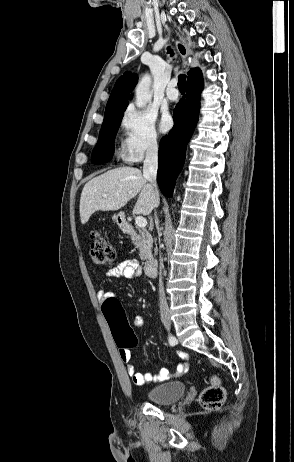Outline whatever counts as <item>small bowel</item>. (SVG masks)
<instances>
[{
	"label": "small bowel",
	"instance_id": "1",
	"mask_svg": "<svg viewBox=\"0 0 294 462\" xmlns=\"http://www.w3.org/2000/svg\"><path fill=\"white\" fill-rule=\"evenodd\" d=\"M141 270L139 264L134 259H127L119 263L116 267L106 271L105 275L110 278H134L139 276ZM111 296V293L101 289L97 292V297L100 300H104L107 297ZM146 320L143 316L138 315L134 318L133 324L135 327H141L145 325ZM119 355L122 362L126 366L127 374L132 378V381L135 385L141 386L149 382H159L165 381L170 378H178L183 376L188 371L187 355L184 352H178V356L183 359V362H180L176 370L171 373L167 369H161L156 375H153L149 372L140 373L136 370L135 366L131 362V353L129 349L119 348Z\"/></svg>",
	"mask_w": 294,
	"mask_h": 462
}]
</instances>
